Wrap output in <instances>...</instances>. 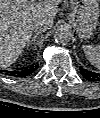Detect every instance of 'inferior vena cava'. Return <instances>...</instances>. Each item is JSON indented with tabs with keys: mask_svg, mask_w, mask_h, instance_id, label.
<instances>
[{
	"mask_svg": "<svg viewBox=\"0 0 100 118\" xmlns=\"http://www.w3.org/2000/svg\"><path fill=\"white\" fill-rule=\"evenodd\" d=\"M49 29V26L42 20L35 21L31 24V30L37 33H43Z\"/></svg>",
	"mask_w": 100,
	"mask_h": 118,
	"instance_id": "602c4592",
	"label": "inferior vena cava"
}]
</instances>
